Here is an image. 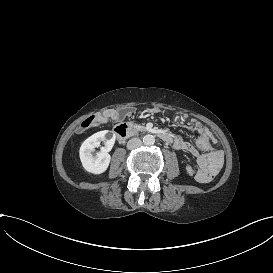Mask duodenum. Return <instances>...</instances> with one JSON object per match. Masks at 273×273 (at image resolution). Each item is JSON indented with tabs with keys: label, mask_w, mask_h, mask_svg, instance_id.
<instances>
[{
	"label": "duodenum",
	"mask_w": 273,
	"mask_h": 273,
	"mask_svg": "<svg viewBox=\"0 0 273 273\" xmlns=\"http://www.w3.org/2000/svg\"><path fill=\"white\" fill-rule=\"evenodd\" d=\"M114 130H115L117 139L120 142H124L128 137L134 134L133 130L130 129L126 124L117 125ZM158 136L160 139H162L165 142H171L172 140L171 136L164 132L158 133Z\"/></svg>",
	"instance_id": "obj_1"
}]
</instances>
